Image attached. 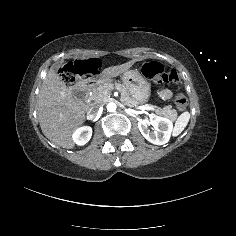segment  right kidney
<instances>
[{
    "label": "right kidney",
    "mask_w": 236,
    "mask_h": 236,
    "mask_svg": "<svg viewBox=\"0 0 236 236\" xmlns=\"http://www.w3.org/2000/svg\"><path fill=\"white\" fill-rule=\"evenodd\" d=\"M91 136L92 128L89 126H82L73 132L72 139L77 145L83 146L90 140Z\"/></svg>",
    "instance_id": "1"
}]
</instances>
